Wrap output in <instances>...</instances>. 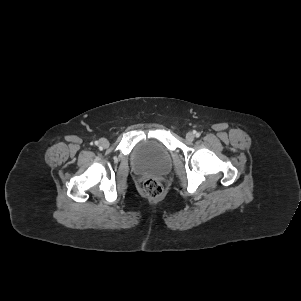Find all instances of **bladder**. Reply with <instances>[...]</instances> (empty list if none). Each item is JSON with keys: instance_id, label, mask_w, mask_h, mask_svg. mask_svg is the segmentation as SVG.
Returning a JSON list of instances; mask_svg holds the SVG:
<instances>
[{"instance_id": "31cf9c89", "label": "bladder", "mask_w": 301, "mask_h": 301, "mask_svg": "<svg viewBox=\"0 0 301 301\" xmlns=\"http://www.w3.org/2000/svg\"><path fill=\"white\" fill-rule=\"evenodd\" d=\"M131 164L138 173L164 175L171 169L172 160L169 150L162 143L147 139L135 147Z\"/></svg>"}]
</instances>
